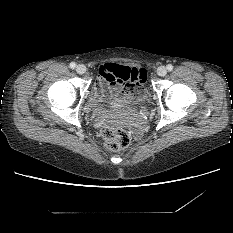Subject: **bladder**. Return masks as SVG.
<instances>
[{"mask_svg":"<svg viewBox=\"0 0 233 233\" xmlns=\"http://www.w3.org/2000/svg\"><path fill=\"white\" fill-rule=\"evenodd\" d=\"M143 79V78H142ZM107 94L109 95V92H107ZM112 97H119L120 95L119 94H116V93H113L111 94ZM148 98V94L146 92H143V93H139L136 97H135V102L138 104V105H143L146 100ZM96 110L95 109H88V113H95Z\"/></svg>","mask_w":233,"mask_h":233,"instance_id":"31cf9c89","label":"bladder"}]
</instances>
